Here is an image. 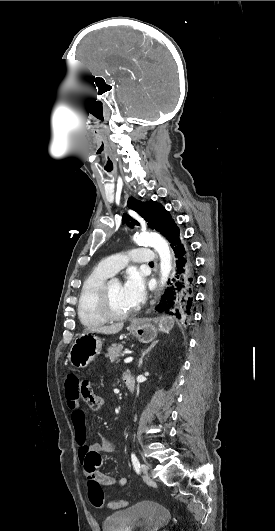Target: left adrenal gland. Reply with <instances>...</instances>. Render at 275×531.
<instances>
[{
    "label": "left adrenal gland",
    "instance_id": "1",
    "mask_svg": "<svg viewBox=\"0 0 275 531\" xmlns=\"http://www.w3.org/2000/svg\"><path fill=\"white\" fill-rule=\"evenodd\" d=\"M157 343H159V341H155V343H151L150 347H148V349H146V351H142V357H140V359H139L138 367H141L145 355H147V353H149V351H151V349H153V347H155V345H157Z\"/></svg>",
    "mask_w": 275,
    "mask_h": 531
}]
</instances>
